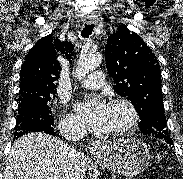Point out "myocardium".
<instances>
[{"label": "myocardium", "mask_w": 183, "mask_h": 179, "mask_svg": "<svg viewBox=\"0 0 183 179\" xmlns=\"http://www.w3.org/2000/svg\"><path fill=\"white\" fill-rule=\"evenodd\" d=\"M109 106H123L125 107L130 115V119L123 127L108 131L107 134L110 136H122L133 132L139 124V113L135 105L126 98H114L109 101Z\"/></svg>", "instance_id": "1"}]
</instances>
